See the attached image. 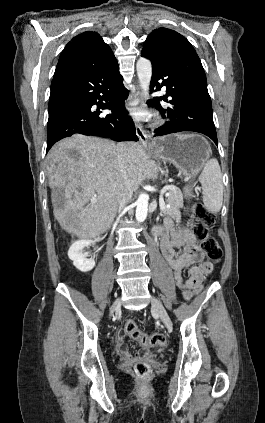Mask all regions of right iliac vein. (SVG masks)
<instances>
[{
	"label": "right iliac vein",
	"mask_w": 265,
	"mask_h": 423,
	"mask_svg": "<svg viewBox=\"0 0 265 423\" xmlns=\"http://www.w3.org/2000/svg\"><path fill=\"white\" fill-rule=\"evenodd\" d=\"M121 301L117 299L111 307L110 316L120 309Z\"/></svg>",
	"instance_id": "obj_1"
}]
</instances>
